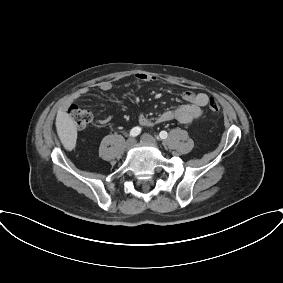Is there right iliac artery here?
Listing matches in <instances>:
<instances>
[{
	"instance_id": "1",
	"label": "right iliac artery",
	"mask_w": 283,
	"mask_h": 283,
	"mask_svg": "<svg viewBox=\"0 0 283 283\" xmlns=\"http://www.w3.org/2000/svg\"><path fill=\"white\" fill-rule=\"evenodd\" d=\"M140 133H141V128L138 127V126H136V127H134V128L131 129V131H130V136H131V137H136V136H138Z\"/></svg>"
}]
</instances>
